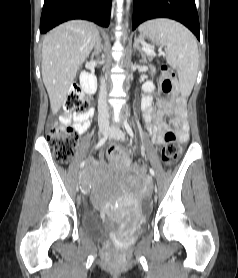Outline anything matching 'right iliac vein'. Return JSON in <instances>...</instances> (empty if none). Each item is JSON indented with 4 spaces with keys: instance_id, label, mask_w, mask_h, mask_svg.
<instances>
[{
    "instance_id": "1",
    "label": "right iliac vein",
    "mask_w": 238,
    "mask_h": 278,
    "mask_svg": "<svg viewBox=\"0 0 238 278\" xmlns=\"http://www.w3.org/2000/svg\"><path fill=\"white\" fill-rule=\"evenodd\" d=\"M99 132H100V135L105 136L108 133V126H106V125L100 126ZM75 189H76V192H79V181H76Z\"/></svg>"
}]
</instances>
